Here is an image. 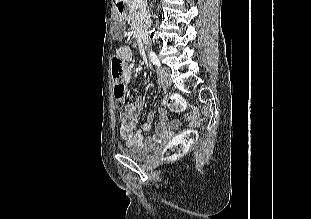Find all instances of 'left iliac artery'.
I'll use <instances>...</instances> for the list:
<instances>
[{
  "instance_id": "left-iliac-artery-1",
  "label": "left iliac artery",
  "mask_w": 311,
  "mask_h": 219,
  "mask_svg": "<svg viewBox=\"0 0 311 219\" xmlns=\"http://www.w3.org/2000/svg\"><path fill=\"white\" fill-rule=\"evenodd\" d=\"M149 56H150V59H151V62L153 63V65L160 66L159 59H158V57L154 51L150 50Z\"/></svg>"
}]
</instances>
